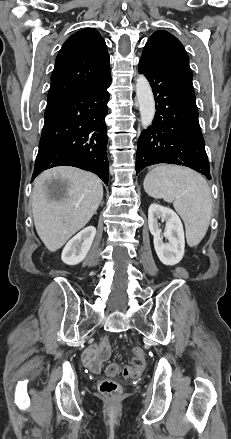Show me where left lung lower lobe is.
<instances>
[{"label":"left lung lower lobe","instance_id":"obj_1","mask_svg":"<svg viewBox=\"0 0 231 439\" xmlns=\"http://www.w3.org/2000/svg\"><path fill=\"white\" fill-rule=\"evenodd\" d=\"M139 72L150 82L156 113L138 141L137 174L146 166L169 163L190 167L210 180L193 87L148 51L142 53Z\"/></svg>","mask_w":231,"mask_h":439}]
</instances>
